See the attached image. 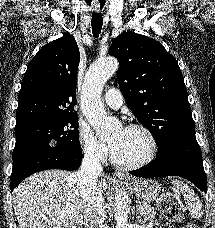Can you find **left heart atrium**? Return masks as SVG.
Wrapping results in <instances>:
<instances>
[{
    "label": "left heart atrium",
    "instance_id": "39dd6f15",
    "mask_svg": "<svg viewBox=\"0 0 215 228\" xmlns=\"http://www.w3.org/2000/svg\"><path fill=\"white\" fill-rule=\"evenodd\" d=\"M118 144H119V140L111 145V149L114 150L118 146Z\"/></svg>",
    "mask_w": 215,
    "mask_h": 228
}]
</instances>
